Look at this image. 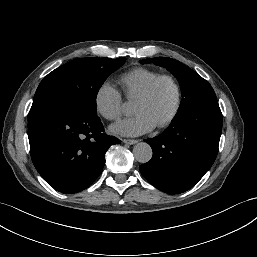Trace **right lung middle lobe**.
Listing matches in <instances>:
<instances>
[{
	"label": "right lung middle lobe",
	"instance_id": "dd1d6c3e",
	"mask_svg": "<svg viewBox=\"0 0 257 257\" xmlns=\"http://www.w3.org/2000/svg\"><path fill=\"white\" fill-rule=\"evenodd\" d=\"M125 58H80L49 73L39 84L31 109H67L96 115V96Z\"/></svg>",
	"mask_w": 257,
	"mask_h": 257
}]
</instances>
